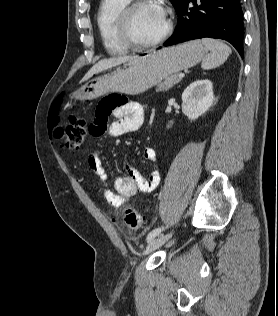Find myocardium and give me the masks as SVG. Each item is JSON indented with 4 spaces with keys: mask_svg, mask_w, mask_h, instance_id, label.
I'll use <instances>...</instances> for the list:
<instances>
[{
    "mask_svg": "<svg viewBox=\"0 0 278 316\" xmlns=\"http://www.w3.org/2000/svg\"><path fill=\"white\" fill-rule=\"evenodd\" d=\"M151 3L150 0H135L129 3L119 14L118 17V29L122 40L126 43L129 48L135 50H144L158 46L164 42L168 36L171 34L173 29L172 20L165 16L166 26L164 31L159 37L150 42H140L138 41L132 32V17L134 12L141 6Z\"/></svg>",
    "mask_w": 278,
    "mask_h": 316,
    "instance_id": "f54148a6",
    "label": "myocardium"
}]
</instances>
